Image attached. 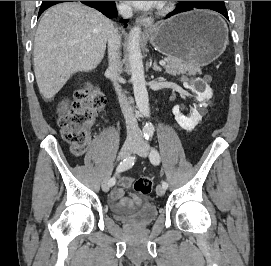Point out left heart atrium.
Here are the masks:
<instances>
[{"label":"left heart atrium","mask_w":271,"mask_h":266,"mask_svg":"<svg viewBox=\"0 0 271 266\" xmlns=\"http://www.w3.org/2000/svg\"><path fill=\"white\" fill-rule=\"evenodd\" d=\"M126 2L138 9H148L159 4L160 1H126Z\"/></svg>","instance_id":"39dd6f15"}]
</instances>
